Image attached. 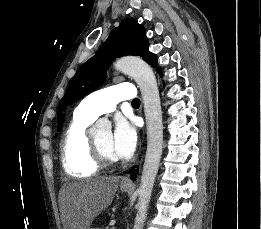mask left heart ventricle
I'll return each instance as SVG.
<instances>
[{
    "label": "left heart ventricle",
    "mask_w": 261,
    "mask_h": 229,
    "mask_svg": "<svg viewBox=\"0 0 261 229\" xmlns=\"http://www.w3.org/2000/svg\"><path fill=\"white\" fill-rule=\"evenodd\" d=\"M111 140H112L111 133H105L102 134L96 141L108 156L115 158L111 151Z\"/></svg>",
    "instance_id": "left-heart-ventricle-1"
}]
</instances>
